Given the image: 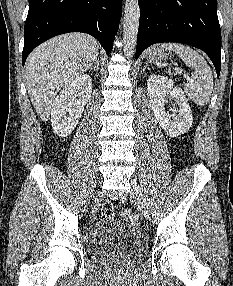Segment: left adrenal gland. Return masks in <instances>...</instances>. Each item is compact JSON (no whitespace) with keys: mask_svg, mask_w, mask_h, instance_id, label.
<instances>
[{"mask_svg":"<svg viewBox=\"0 0 233 286\" xmlns=\"http://www.w3.org/2000/svg\"><path fill=\"white\" fill-rule=\"evenodd\" d=\"M146 69L150 70V68L148 67V63H146L145 66L143 67V72H144Z\"/></svg>","mask_w":233,"mask_h":286,"instance_id":"left-adrenal-gland-1","label":"left adrenal gland"}]
</instances>
